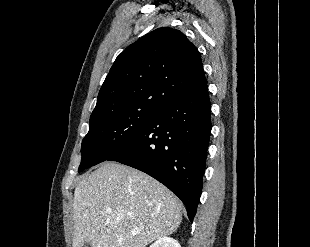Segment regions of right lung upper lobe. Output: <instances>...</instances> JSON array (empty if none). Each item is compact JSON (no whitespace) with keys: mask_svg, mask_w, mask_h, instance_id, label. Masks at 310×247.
Masks as SVG:
<instances>
[{"mask_svg":"<svg viewBox=\"0 0 310 247\" xmlns=\"http://www.w3.org/2000/svg\"><path fill=\"white\" fill-rule=\"evenodd\" d=\"M205 84L197 48L179 30L158 28L116 58L90 118L128 108L158 110Z\"/></svg>","mask_w":310,"mask_h":247,"instance_id":"1","label":"right lung upper lobe"}]
</instances>
